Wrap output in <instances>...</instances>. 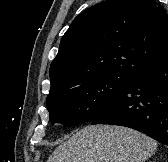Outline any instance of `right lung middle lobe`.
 <instances>
[{
    "instance_id": "dd1d6c3e",
    "label": "right lung middle lobe",
    "mask_w": 168,
    "mask_h": 162,
    "mask_svg": "<svg viewBox=\"0 0 168 162\" xmlns=\"http://www.w3.org/2000/svg\"><path fill=\"white\" fill-rule=\"evenodd\" d=\"M130 78L126 74L110 73L75 81L50 91L46 101L50 122L67 127L91 122Z\"/></svg>"
}]
</instances>
